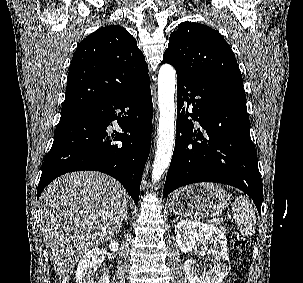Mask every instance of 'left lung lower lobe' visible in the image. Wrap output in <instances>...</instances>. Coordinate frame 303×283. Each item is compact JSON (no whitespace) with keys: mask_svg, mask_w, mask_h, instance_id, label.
<instances>
[{"mask_svg":"<svg viewBox=\"0 0 303 283\" xmlns=\"http://www.w3.org/2000/svg\"><path fill=\"white\" fill-rule=\"evenodd\" d=\"M249 124L243 87L177 75L176 140L163 197L192 183H224L247 193L261 214L263 185Z\"/></svg>","mask_w":303,"mask_h":283,"instance_id":"obj_1","label":"left lung lower lobe"}]
</instances>
